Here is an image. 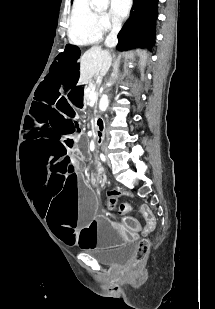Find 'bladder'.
I'll list each match as a JSON object with an SVG mask.
<instances>
[{
  "label": "bladder",
  "instance_id": "31cf9c89",
  "mask_svg": "<svg viewBox=\"0 0 215 309\" xmlns=\"http://www.w3.org/2000/svg\"><path fill=\"white\" fill-rule=\"evenodd\" d=\"M135 253L136 247L129 244L116 251L98 255L96 259L100 264L108 267H122L134 258Z\"/></svg>",
  "mask_w": 215,
  "mask_h": 309
}]
</instances>
